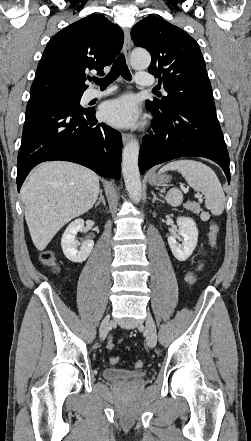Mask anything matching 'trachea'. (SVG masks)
Returning a JSON list of instances; mask_svg holds the SVG:
<instances>
[{
	"mask_svg": "<svg viewBox=\"0 0 251 441\" xmlns=\"http://www.w3.org/2000/svg\"><path fill=\"white\" fill-rule=\"evenodd\" d=\"M120 75L127 81H130L132 78L124 55H120L116 59L108 75H106L104 78H93V81L100 85L101 88H104L116 80Z\"/></svg>",
	"mask_w": 251,
	"mask_h": 441,
	"instance_id": "3493384b",
	"label": "trachea"
}]
</instances>
